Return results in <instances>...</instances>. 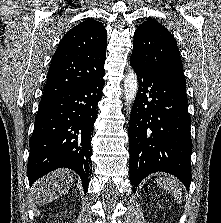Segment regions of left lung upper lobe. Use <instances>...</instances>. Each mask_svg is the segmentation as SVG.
I'll use <instances>...</instances> for the list:
<instances>
[{
    "label": "left lung upper lobe",
    "mask_w": 221,
    "mask_h": 223,
    "mask_svg": "<svg viewBox=\"0 0 221 223\" xmlns=\"http://www.w3.org/2000/svg\"><path fill=\"white\" fill-rule=\"evenodd\" d=\"M130 61L153 74L185 83L175 38L156 20L148 19L135 30Z\"/></svg>",
    "instance_id": "obj_1"
}]
</instances>
